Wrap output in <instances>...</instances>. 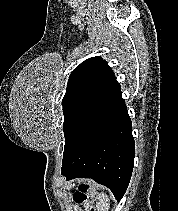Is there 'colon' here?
<instances>
[{
	"label": "colon",
	"mask_w": 178,
	"mask_h": 211,
	"mask_svg": "<svg viewBox=\"0 0 178 211\" xmlns=\"http://www.w3.org/2000/svg\"><path fill=\"white\" fill-rule=\"evenodd\" d=\"M96 194L90 182L81 183L74 192L73 199L76 204L86 205V211H94L90 206L95 200Z\"/></svg>",
	"instance_id": "colon-1"
}]
</instances>
